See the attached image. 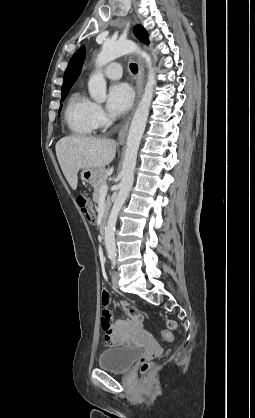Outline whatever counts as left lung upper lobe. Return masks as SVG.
<instances>
[{
    "label": "left lung upper lobe",
    "mask_w": 255,
    "mask_h": 418,
    "mask_svg": "<svg viewBox=\"0 0 255 418\" xmlns=\"http://www.w3.org/2000/svg\"><path fill=\"white\" fill-rule=\"evenodd\" d=\"M134 32H135V35L138 37V39H139L140 41H142V42H144V43H146V44H148V43H149V41H148V35H147V32H146V30H145L143 27H141V26H136V27L134 28Z\"/></svg>",
    "instance_id": "1"
}]
</instances>
